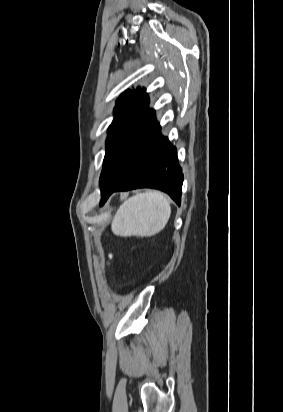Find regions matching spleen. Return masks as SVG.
<instances>
[{"instance_id": "1", "label": "spleen", "mask_w": 283, "mask_h": 412, "mask_svg": "<svg viewBox=\"0 0 283 412\" xmlns=\"http://www.w3.org/2000/svg\"><path fill=\"white\" fill-rule=\"evenodd\" d=\"M170 215V203L164 194L157 191L140 193L119 207L111 230L121 237H150L166 226Z\"/></svg>"}]
</instances>
